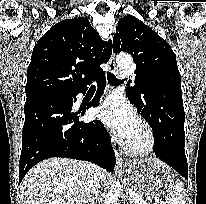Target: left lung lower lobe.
<instances>
[{
    "instance_id": "1",
    "label": "left lung lower lobe",
    "mask_w": 206,
    "mask_h": 204,
    "mask_svg": "<svg viewBox=\"0 0 206 204\" xmlns=\"http://www.w3.org/2000/svg\"><path fill=\"white\" fill-rule=\"evenodd\" d=\"M185 113L180 108L173 116H167L162 129L153 133L155 138L154 151L156 157L167 163L185 179L188 178V165L185 155Z\"/></svg>"
}]
</instances>
